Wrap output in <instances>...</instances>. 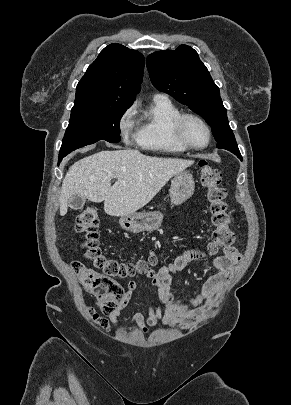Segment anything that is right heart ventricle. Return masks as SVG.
I'll return each mask as SVG.
<instances>
[{"label": "right heart ventricle", "mask_w": 291, "mask_h": 405, "mask_svg": "<svg viewBox=\"0 0 291 405\" xmlns=\"http://www.w3.org/2000/svg\"><path fill=\"white\" fill-rule=\"evenodd\" d=\"M181 114L180 109L166 97H154L139 120L137 143L140 147L156 152L178 154L187 149L173 135V123Z\"/></svg>", "instance_id": "obj_1"}]
</instances>
